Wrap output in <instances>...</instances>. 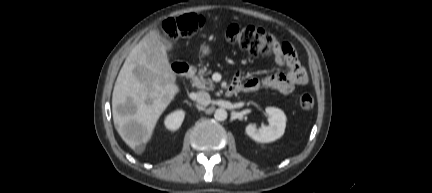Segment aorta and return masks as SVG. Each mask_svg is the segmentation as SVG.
<instances>
[{"mask_svg": "<svg viewBox=\"0 0 432 193\" xmlns=\"http://www.w3.org/2000/svg\"><path fill=\"white\" fill-rule=\"evenodd\" d=\"M214 118L218 121H224L227 119V111L223 108L216 109Z\"/></svg>", "mask_w": 432, "mask_h": 193, "instance_id": "obj_1", "label": "aorta"}]
</instances>
